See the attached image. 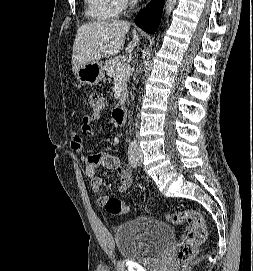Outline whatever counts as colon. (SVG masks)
Returning <instances> with one entry per match:
<instances>
[{"label": "colon", "mask_w": 253, "mask_h": 271, "mask_svg": "<svg viewBox=\"0 0 253 271\" xmlns=\"http://www.w3.org/2000/svg\"><path fill=\"white\" fill-rule=\"evenodd\" d=\"M90 103L94 113H100L106 106V99L98 93H91ZM106 211L112 215H122L130 211L125 202L117 198H109L103 204ZM165 219L174 225L187 223L182 239L175 247L173 257L179 263H186L195 254L197 247L207 238V227L200 211L186 209L179 212L166 213Z\"/></svg>", "instance_id": "colon-1"}]
</instances>
